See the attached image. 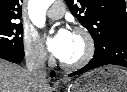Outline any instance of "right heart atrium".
Masks as SVG:
<instances>
[{
  "label": "right heart atrium",
  "instance_id": "right-heart-atrium-1",
  "mask_svg": "<svg viewBox=\"0 0 127 92\" xmlns=\"http://www.w3.org/2000/svg\"><path fill=\"white\" fill-rule=\"evenodd\" d=\"M24 53L27 61L34 66H42L49 60L44 45L33 33L24 35Z\"/></svg>",
  "mask_w": 127,
  "mask_h": 92
}]
</instances>
